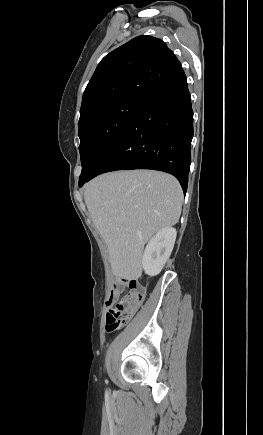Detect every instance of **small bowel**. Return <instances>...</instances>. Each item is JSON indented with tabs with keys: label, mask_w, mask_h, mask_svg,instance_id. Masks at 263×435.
Masks as SVG:
<instances>
[{
	"label": "small bowel",
	"mask_w": 263,
	"mask_h": 435,
	"mask_svg": "<svg viewBox=\"0 0 263 435\" xmlns=\"http://www.w3.org/2000/svg\"><path fill=\"white\" fill-rule=\"evenodd\" d=\"M119 294H120V292L118 290H116V289L113 290L109 300L106 303L107 309H109L110 307H112L116 303Z\"/></svg>",
	"instance_id": "c3829d8e"
}]
</instances>
